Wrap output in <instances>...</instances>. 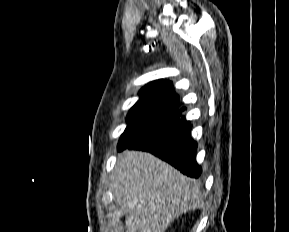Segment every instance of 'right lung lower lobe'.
Here are the masks:
<instances>
[{
  "mask_svg": "<svg viewBox=\"0 0 289 232\" xmlns=\"http://www.w3.org/2000/svg\"><path fill=\"white\" fill-rule=\"evenodd\" d=\"M190 128V123L182 116L118 150L130 148L149 151L169 162L182 173L198 178L201 174V166L195 159L197 143L191 138Z\"/></svg>",
  "mask_w": 289,
  "mask_h": 232,
  "instance_id": "98d812e1",
  "label": "right lung lower lobe"
}]
</instances>
